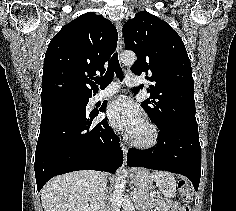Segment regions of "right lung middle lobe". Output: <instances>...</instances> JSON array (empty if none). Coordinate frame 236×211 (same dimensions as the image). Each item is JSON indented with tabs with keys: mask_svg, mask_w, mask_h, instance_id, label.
Listing matches in <instances>:
<instances>
[{
	"mask_svg": "<svg viewBox=\"0 0 236 211\" xmlns=\"http://www.w3.org/2000/svg\"><path fill=\"white\" fill-rule=\"evenodd\" d=\"M88 99H69V98H61L55 99L50 102L42 104V110L47 108H59V107H70L75 110H83L85 109V104Z\"/></svg>",
	"mask_w": 236,
	"mask_h": 211,
	"instance_id": "obj_1",
	"label": "right lung middle lobe"
}]
</instances>
